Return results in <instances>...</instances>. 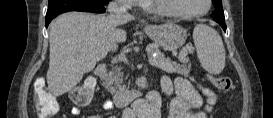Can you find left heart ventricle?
Returning <instances> with one entry per match:
<instances>
[{"mask_svg": "<svg viewBox=\"0 0 273 118\" xmlns=\"http://www.w3.org/2000/svg\"><path fill=\"white\" fill-rule=\"evenodd\" d=\"M173 8L183 13L201 11L205 8V0H171Z\"/></svg>", "mask_w": 273, "mask_h": 118, "instance_id": "1", "label": "left heart ventricle"}]
</instances>
